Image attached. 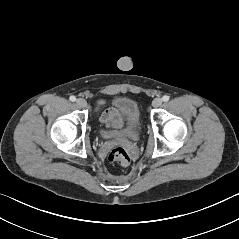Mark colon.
<instances>
[{"label":"colon","mask_w":239,"mask_h":239,"mask_svg":"<svg viewBox=\"0 0 239 239\" xmlns=\"http://www.w3.org/2000/svg\"><path fill=\"white\" fill-rule=\"evenodd\" d=\"M109 160L121 166H127L130 163V156L126 149L116 147L111 150L108 156Z\"/></svg>","instance_id":"colon-1"}]
</instances>
